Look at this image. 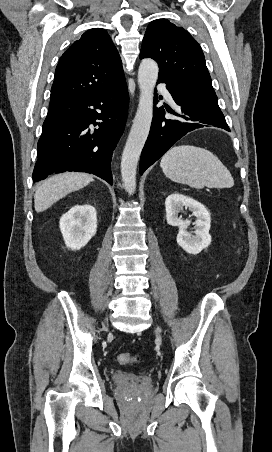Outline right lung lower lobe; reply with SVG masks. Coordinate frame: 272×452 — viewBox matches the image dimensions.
I'll return each instance as SVG.
<instances>
[{"label": "right lung lower lobe", "instance_id": "right-lung-lower-lobe-1", "mask_svg": "<svg viewBox=\"0 0 272 452\" xmlns=\"http://www.w3.org/2000/svg\"><path fill=\"white\" fill-rule=\"evenodd\" d=\"M128 103L124 79L71 108L48 112L38 141L33 181L76 171L95 174L112 185L111 158L124 131ZM96 125L98 128H93Z\"/></svg>", "mask_w": 272, "mask_h": 452}]
</instances>
